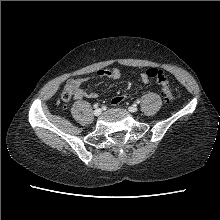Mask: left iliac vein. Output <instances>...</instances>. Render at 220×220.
<instances>
[{"label": "left iliac vein", "mask_w": 220, "mask_h": 220, "mask_svg": "<svg viewBox=\"0 0 220 220\" xmlns=\"http://www.w3.org/2000/svg\"><path fill=\"white\" fill-rule=\"evenodd\" d=\"M128 110H129L130 112L134 113V112H137L138 108H137L136 105H132V106H130V107L128 108Z\"/></svg>", "instance_id": "4c4485c4"}]
</instances>
